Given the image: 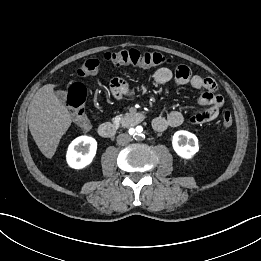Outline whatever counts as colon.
Listing matches in <instances>:
<instances>
[{"mask_svg": "<svg viewBox=\"0 0 261 261\" xmlns=\"http://www.w3.org/2000/svg\"><path fill=\"white\" fill-rule=\"evenodd\" d=\"M104 60L114 65H134L138 67H151L168 63L170 60L158 52H141L136 49L107 52L102 57ZM101 58H91L83 61L77 70L81 77H88L97 73ZM86 88L81 83L72 84L66 95V104L72 112L74 122L81 129H88L89 119L85 112ZM233 124V116L230 111H225L222 115V126L228 130Z\"/></svg>", "mask_w": 261, "mask_h": 261, "instance_id": "obj_1", "label": "colon"}]
</instances>
